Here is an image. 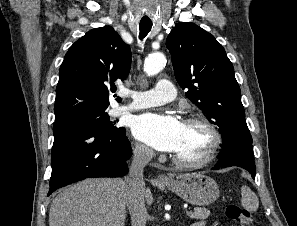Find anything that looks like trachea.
I'll return each instance as SVG.
<instances>
[{"mask_svg": "<svg viewBox=\"0 0 297 226\" xmlns=\"http://www.w3.org/2000/svg\"><path fill=\"white\" fill-rule=\"evenodd\" d=\"M152 27V22L149 21H141L139 24V29H140V33H139V38L140 40L144 39L147 34L150 32Z\"/></svg>", "mask_w": 297, "mask_h": 226, "instance_id": "3493384b", "label": "trachea"}]
</instances>
